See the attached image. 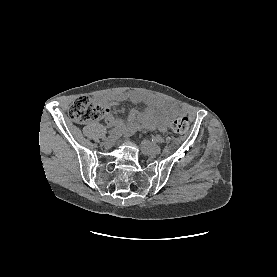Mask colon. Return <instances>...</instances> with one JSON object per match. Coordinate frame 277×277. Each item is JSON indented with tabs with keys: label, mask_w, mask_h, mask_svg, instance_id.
<instances>
[{
	"label": "colon",
	"mask_w": 277,
	"mask_h": 277,
	"mask_svg": "<svg viewBox=\"0 0 277 277\" xmlns=\"http://www.w3.org/2000/svg\"><path fill=\"white\" fill-rule=\"evenodd\" d=\"M70 118L79 123L99 120L107 114V108L101 104L92 102L88 97L76 98L69 107ZM189 119L186 116L176 118L171 124V130L175 134H183L189 129Z\"/></svg>",
	"instance_id": "5ec220e1"
}]
</instances>
